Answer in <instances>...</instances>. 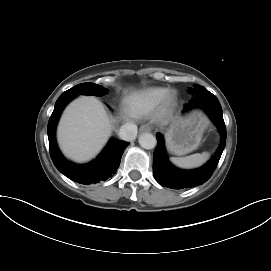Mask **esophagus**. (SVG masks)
<instances>
[{
  "instance_id": "esophagus-1",
  "label": "esophagus",
  "mask_w": 271,
  "mask_h": 271,
  "mask_svg": "<svg viewBox=\"0 0 271 271\" xmlns=\"http://www.w3.org/2000/svg\"><path fill=\"white\" fill-rule=\"evenodd\" d=\"M151 131V127L148 125H142L140 127V132H150Z\"/></svg>"
}]
</instances>
